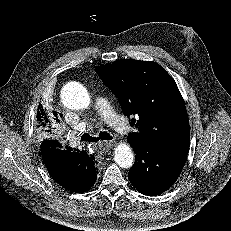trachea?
<instances>
[{
	"label": "trachea",
	"mask_w": 231,
	"mask_h": 231,
	"mask_svg": "<svg viewBox=\"0 0 231 231\" xmlns=\"http://www.w3.org/2000/svg\"><path fill=\"white\" fill-rule=\"evenodd\" d=\"M99 140L109 141V140H112V136L107 132H100L98 137H92L88 133H84L81 136V141L82 142H97Z\"/></svg>",
	"instance_id": "trachea-1"
}]
</instances>
